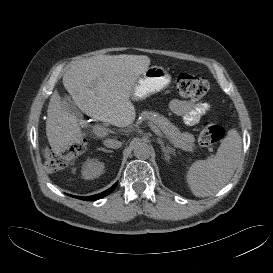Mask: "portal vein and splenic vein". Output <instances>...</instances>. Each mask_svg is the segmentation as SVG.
<instances>
[{"label":"portal vein and splenic vein","instance_id":"portal-vein-and-splenic-vein-1","mask_svg":"<svg viewBox=\"0 0 273 273\" xmlns=\"http://www.w3.org/2000/svg\"><path fill=\"white\" fill-rule=\"evenodd\" d=\"M150 128L152 129V131L159 137L164 138L163 134L161 133V131L155 126V125H150ZM95 131L97 134H106V128L102 127V126H96L95 127Z\"/></svg>","mask_w":273,"mask_h":273}]
</instances>
